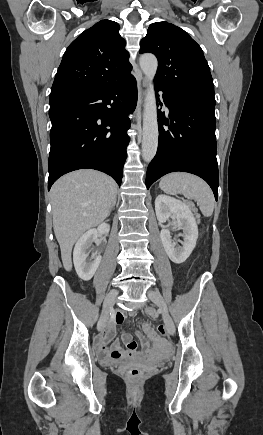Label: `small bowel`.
Segmentation results:
<instances>
[{
	"label": "small bowel",
	"instance_id": "small-bowel-1",
	"mask_svg": "<svg viewBox=\"0 0 263 435\" xmlns=\"http://www.w3.org/2000/svg\"><path fill=\"white\" fill-rule=\"evenodd\" d=\"M125 319V313L118 311L112 320L107 324V328L103 335L96 340V347L105 358L120 359L123 357H139L140 353L137 352V343L133 341L130 334L122 333V341L126 344V348H122L120 341L115 339L116 326L122 324ZM144 330L147 333V338L151 340L150 346L146 342L141 333H138V337L142 342L144 353L150 354V356H157V359H162L164 354L163 349V336L158 334L149 325L144 326Z\"/></svg>",
	"mask_w": 263,
	"mask_h": 435
}]
</instances>
